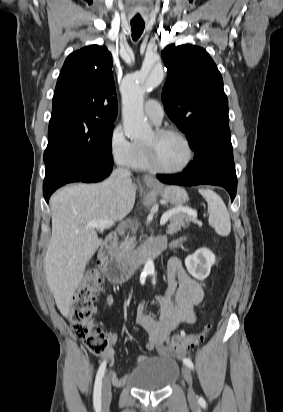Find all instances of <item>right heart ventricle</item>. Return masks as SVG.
<instances>
[{
    "label": "right heart ventricle",
    "instance_id": "right-heart-ventricle-1",
    "mask_svg": "<svg viewBox=\"0 0 283 412\" xmlns=\"http://www.w3.org/2000/svg\"><path fill=\"white\" fill-rule=\"evenodd\" d=\"M136 145V156L133 164L131 165L132 168L136 170H149L150 167L148 165L145 149L143 144H135Z\"/></svg>",
    "mask_w": 283,
    "mask_h": 412
}]
</instances>
